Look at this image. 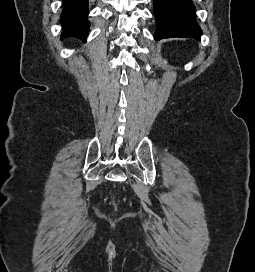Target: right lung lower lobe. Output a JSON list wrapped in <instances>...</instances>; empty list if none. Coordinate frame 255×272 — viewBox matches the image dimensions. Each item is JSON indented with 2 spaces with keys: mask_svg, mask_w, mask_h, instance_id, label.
Returning <instances> with one entry per match:
<instances>
[{
  "mask_svg": "<svg viewBox=\"0 0 255 272\" xmlns=\"http://www.w3.org/2000/svg\"><path fill=\"white\" fill-rule=\"evenodd\" d=\"M64 8L60 21L64 32L62 37H77L86 40L89 32L88 0H62Z\"/></svg>",
  "mask_w": 255,
  "mask_h": 272,
  "instance_id": "1",
  "label": "right lung lower lobe"
}]
</instances>
